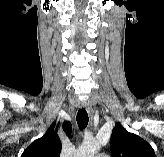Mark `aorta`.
I'll use <instances>...</instances> for the list:
<instances>
[{
	"instance_id": "obj_1",
	"label": "aorta",
	"mask_w": 164,
	"mask_h": 157,
	"mask_svg": "<svg viewBox=\"0 0 164 157\" xmlns=\"http://www.w3.org/2000/svg\"><path fill=\"white\" fill-rule=\"evenodd\" d=\"M100 148L97 141L84 142L75 153V157H95Z\"/></svg>"
}]
</instances>
